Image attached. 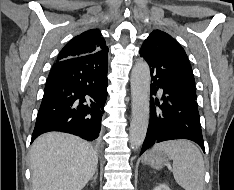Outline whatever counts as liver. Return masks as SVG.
<instances>
[{"label":"liver","instance_id":"obj_1","mask_svg":"<svg viewBox=\"0 0 234 190\" xmlns=\"http://www.w3.org/2000/svg\"><path fill=\"white\" fill-rule=\"evenodd\" d=\"M33 190H81L97 170L94 148L79 137L49 132L30 150Z\"/></svg>","mask_w":234,"mask_h":190}]
</instances>
